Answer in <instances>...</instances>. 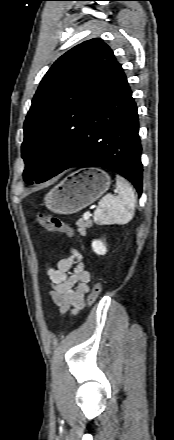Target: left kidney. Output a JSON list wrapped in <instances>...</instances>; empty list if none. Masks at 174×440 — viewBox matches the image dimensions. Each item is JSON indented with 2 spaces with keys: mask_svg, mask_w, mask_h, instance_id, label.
Segmentation results:
<instances>
[{
  "mask_svg": "<svg viewBox=\"0 0 174 440\" xmlns=\"http://www.w3.org/2000/svg\"><path fill=\"white\" fill-rule=\"evenodd\" d=\"M93 251L98 255H104L107 251L105 244L100 240H94L92 242Z\"/></svg>",
  "mask_w": 174,
  "mask_h": 440,
  "instance_id": "5707ae66",
  "label": "left kidney"
}]
</instances>
